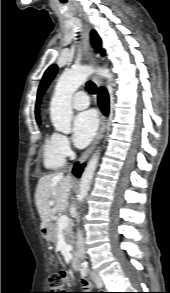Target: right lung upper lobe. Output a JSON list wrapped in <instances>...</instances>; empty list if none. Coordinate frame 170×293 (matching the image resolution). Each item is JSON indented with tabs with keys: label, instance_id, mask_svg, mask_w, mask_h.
Masks as SVG:
<instances>
[{
	"label": "right lung upper lobe",
	"instance_id": "cb5924a9",
	"mask_svg": "<svg viewBox=\"0 0 170 293\" xmlns=\"http://www.w3.org/2000/svg\"><path fill=\"white\" fill-rule=\"evenodd\" d=\"M36 120H37L38 124H40V118H39V115H38V111H36Z\"/></svg>",
	"mask_w": 170,
	"mask_h": 293
}]
</instances>
